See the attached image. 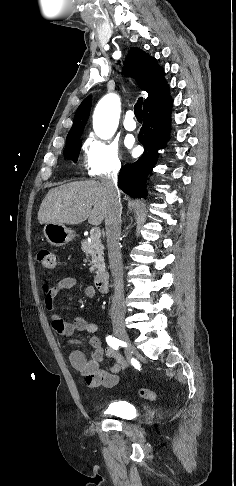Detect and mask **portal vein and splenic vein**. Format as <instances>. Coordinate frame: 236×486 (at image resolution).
Instances as JSON below:
<instances>
[{"label": "portal vein and splenic vein", "instance_id": "18ae733b", "mask_svg": "<svg viewBox=\"0 0 236 486\" xmlns=\"http://www.w3.org/2000/svg\"><path fill=\"white\" fill-rule=\"evenodd\" d=\"M90 235L92 238H100L101 237V231L98 227H94L90 231Z\"/></svg>", "mask_w": 236, "mask_h": 486}]
</instances>
